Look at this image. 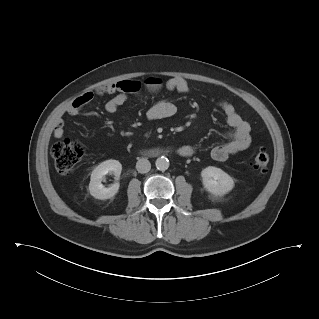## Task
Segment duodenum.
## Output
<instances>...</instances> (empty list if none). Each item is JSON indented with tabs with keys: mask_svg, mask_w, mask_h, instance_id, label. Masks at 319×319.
<instances>
[{
	"mask_svg": "<svg viewBox=\"0 0 319 319\" xmlns=\"http://www.w3.org/2000/svg\"><path fill=\"white\" fill-rule=\"evenodd\" d=\"M144 153L147 155L155 156V155H160L164 153V151L159 149H149V150H145Z\"/></svg>",
	"mask_w": 319,
	"mask_h": 319,
	"instance_id": "duodenum-1",
	"label": "duodenum"
}]
</instances>
